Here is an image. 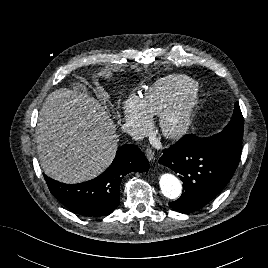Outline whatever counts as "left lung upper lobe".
I'll list each match as a JSON object with an SVG mask.
<instances>
[{
    "label": "left lung upper lobe",
    "instance_id": "1",
    "mask_svg": "<svg viewBox=\"0 0 268 268\" xmlns=\"http://www.w3.org/2000/svg\"><path fill=\"white\" fill-rule=\"evenodd\" d=\"M243 127V116L239 104H235L232 118L223 131L211 137L201 139L208 145L228 150L236 155H241Z\"/></svg>",
    "mask_w": 268,
    "mask_h": 268
}]
</instances>
